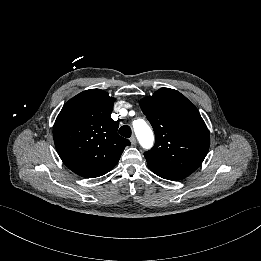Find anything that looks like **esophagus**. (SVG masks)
Listing matches in <instances>:
<instances>
[{"instance_id":"34e87169","label":"esophagus","mask_w":261,"mask_h":261,"mask_svg":"<svg viewBox=\"0 0 261 261\" xmlns=\"http://www.w3.org/2000/svg\"><path fill=\"white\" fill-rule=\"evenodd\" d=\"M130 142H131L132 145H136L137 144V139H136V137L134 135L131 136Z\"/></svg>"}]
</instances>
